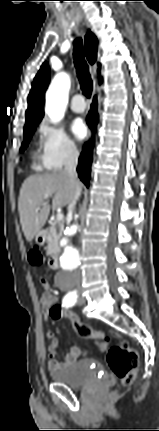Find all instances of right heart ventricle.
Here are the masks:
<instances>
[{
  "label": "right heart ventricle",
  "mask_w": 159,
  "mask_h": 431,
  "mask_svg": "<svg viewBox=\"0 0 159 431\" xmlns=\"http://www.w3.org/2000/svg\"><path fill=\"white\" fill-rule=\"evenodd\" d=\"M34 168H36V169H40V168H41V166H40L39 164H37V163H34Z\"/></svg>",
  "instance_id": "1"
}]
</instances>
